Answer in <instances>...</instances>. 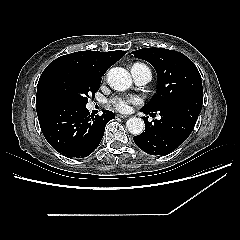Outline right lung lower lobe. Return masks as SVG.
Wrapping results in <instances>:
<instances>
[{"mask_svg":"<svg viewBox=\"0 0 240 240\" xmlns=\"http://www.w3.org/2000/svg\"><path fill=\"white\" fill-rule=\"evenodd\" d=\"M47 142L68 158H83L100 144L106 124L115 118L103 110L101 116H91L86 107L57 105L37 113Z\"/></svg>","mask_w":240,"mask_h":240,"instance_id":"obj_1","label":"right lung lower lobe"}]
</instances>
